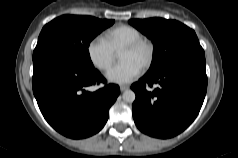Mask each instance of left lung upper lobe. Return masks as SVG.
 <instances>
[{
  "mask_svg": "<svg viewBox=\"0 0 238 158\" xmlns=\"http://www.w3.org/2000/svg\"><path fill=\"white\" fill-rule=\"evenodd\" d=\"M129 23L154 44L152 64L146 75H154L181 58L204 54L195 32L178 21L149 18L131 19Z\"/></svg>",
  "mask_w": 238,
  "mask_h": 158,
  "instance_id": "5c2ea615",
  "label": "left lung upper lobe"
}]
</instances>
